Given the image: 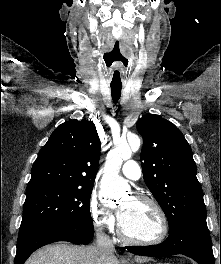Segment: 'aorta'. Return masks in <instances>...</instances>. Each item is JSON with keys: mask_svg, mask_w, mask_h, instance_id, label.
Instances as JSON below:
<instances>
[{"mask_svg": "<svg viewBox=\"0 0 221 264\" xmlns=\"http://www.w3.org/2000/svg\"><path fill=\"white\" fill-rule=\"evenodd\" d=\"M140 143V138L137 135H132L128 142L125 139L120 140L116 147L109 152L100 184L101 195L109 202L118 201L128 189V183L119 176V171L122 162L131 157L132 150L139 149Z\"/></svg>", "mask_w": 221, "mask_h": 264, "instance_id": "762f6f07", "label": "aorta"}]
</instances>
